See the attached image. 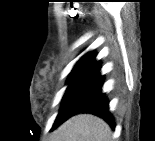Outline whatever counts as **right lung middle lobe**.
<instances>
[{
  "label": "right lung middle lobe",
  "mask_w": 155,
  "mask_h": 141,
  "mask_svg": "<svg viewBox=\"0 0 155 141\" xmlns=\"http://www.w3.org/2000/svg\"><path fill=\"white\" fill-rule=\"evenodd\" d=\"M94 74L95 73L93 72H71L68 78V88L63 96L60 112L54 122V125L58 124L63 118L64 106L77 93V91L93 77Z\"/></svg>",
  "instance_id": "1"
}]
</instances>
